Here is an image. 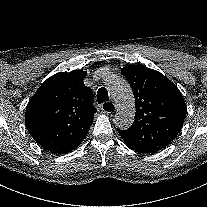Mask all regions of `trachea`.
<instances>
[{
    "mask_svg": "<svg viewBox=\"0 0 207 207\" xmlns=\"http://www.w3.org/2000/svg\"><path fill=\"white\" fill-rule=\"evenodd\" d=\"M108 93L105 88H100L97 92V101L98 103L106 102L108 101ZM109 103H104V107L107 106Z\"/></svg>",
    "mask_w": 207,
    "mask_h": 207,
    "instance_id": "1",
    "label": "trachea"
}]
</instances>
